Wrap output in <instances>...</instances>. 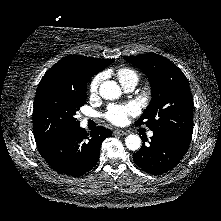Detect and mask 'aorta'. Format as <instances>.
I'll return each instance as SVG.
<instances>
[{"instance_id": "762f6f07", "label": "aorta", "mask_w": 221, "mask_h": 221, "mask_svg": "<svg viewBox=\"0 0 221 221\" xmlns=\"http://www.w3.org/2000/svg\"><path fill=\"white\" fill-rule=\"evenodd\" d=\"M121 88L114 81H105L100 85L99 94L106 100H115L121 96ZM126 147L129 150H138L141 146V139L138 135H129L125 139Z\"/></svg>"}]
</instances>
